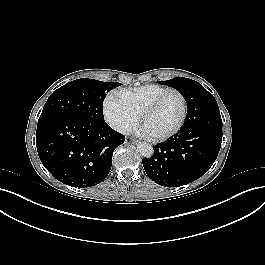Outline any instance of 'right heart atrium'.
Returning a JSON list of instances; mask_svg holds the SVG:
<instances>
[{"instance_id":"d8ad5b80","label":"right heart atrium","mask_w":265,"mask_h":265,"mask_svg":"<svg viewBox=\"0 0 265 265\" xmlns=\"http://www.w3.org/2000/svg\"><path fill=\"white\" fill-rule=\"evenodd\" d=\"M105 121L116 131L131 132L138 121L137 114L128 106L120 92L109 91L103 101Z\"/></svg>"}]
</instances>
